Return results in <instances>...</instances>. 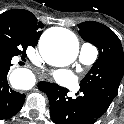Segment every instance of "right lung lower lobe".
Masks as SVG:
<instances>
[{
	"mask_svg": "<svg viewBox=\"0 0 124 124\" xmlns=\"http://www.w3.org/2000/svg\"><path fill=\"white\" fill-rule=\"evenodd\" d=\"M10 58L0 56V120L15 115L23 106L25 94L12 90L7 81Z\"/></svg>",
	"mask_w": 124,
	"mask_h": 124,
	"instance_id": "obj_1",
	"label": "right lung lower lobe"
}]
</instances>
